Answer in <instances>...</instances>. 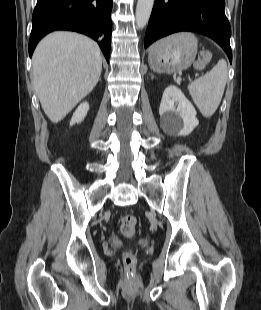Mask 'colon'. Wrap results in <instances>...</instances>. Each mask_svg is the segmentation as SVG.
Instances as JSON below:
<instances>
[{"instance_id":"5ec220e1","label":"colon","mask_w":261,"mask_h":310,"mask_svg":"<svg viewBox=\"0 0 261 310\" xmlns=\"http://www.w3.org/2000/svg\"><path fill=\"white\" fill-rule=\"evenodd\" d=\"M210 61H211L210 53L208 52L201 53L196 64L197 68L202 69L206 67ZM136 227H137V218L134 215L127 214L121 218L120 230L125 237L127 238L133 237L136 231ZM124 263L127 267H133L136 263L135 256L130 252H126L124 254Z\"/></svg>"}]
</instances>
